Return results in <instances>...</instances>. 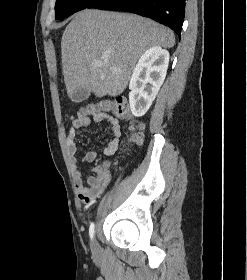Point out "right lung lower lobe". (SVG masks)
<instances>
[{
    "label": "right lung lower lobe",
    "instance_id": "1",
    "mask_svg": "<svg viewBox=\"0 0 247 280\" xmlns=\"http://www.w3.org/2000/svg\"><path fill=\"white\" fill-rule=\"evenodd\" d=\"M89 8L119 10L152 18L169 26L180 37L185 0H98Z\"/></svg>",
    "mask_w": 247,
    "mask_h": 280
}]
</instances>
